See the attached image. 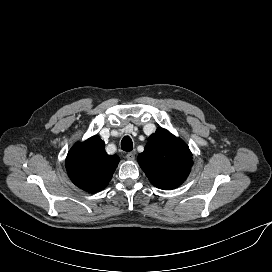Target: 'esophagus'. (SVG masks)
I'll return each mask as SVG.
<instances>
[{"label": "esophagus", "instance_id": "1", "mask_svg": "<svg viewBox=\"0 0 272 272\" xmlns=\"http://www.w3.org/2000/svg\"><path fill=\"white\" fill-rule=\"evenodd\" d=\"M126 158H127L128 160H134V159H135V152H134V151L128 152V153L126 154Z\"/></svg>", "mask_w": 272, "mask_h": 272}]
</instances>
